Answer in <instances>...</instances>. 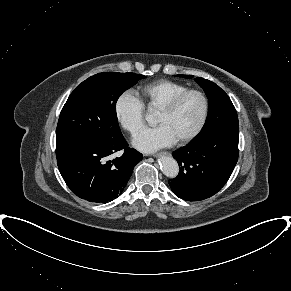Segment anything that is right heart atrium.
Instances as JSON below:
<instances>
[{"label":"right heart atrium","mask_w":291,"mask_h":291,"mask_svg":"<svg viewBox=\"0 0 291 291\" xmlns=\"http://www.w3.org/2000/svg\"><path fill=\"white\" fill-rule=\"evenodd\" d=\"M115 116L121 127L135 136L144 127L145 109L139 98L129 91L121 93L114 106Z\"/></svg>","instance_id":"1"}]
</instances>
